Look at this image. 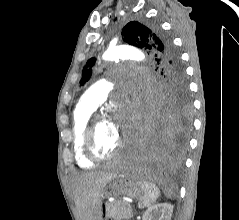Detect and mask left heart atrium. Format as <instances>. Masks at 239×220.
Segmentation results:
<instances>
[{"label":"left heart atrium","mask_w":239,"mask_h":220,"mask_svg":"<svg viewBox=\"0 0 239 220\" xmlns=\"http://www.w3.org/2000/svg\"><path fill=\"white\" fill-rule=\"evenodd\" d=\"M124 111H118V113L114 117V121L112 122L116 129L118 130V125L127 126V118L123 116Z\"/></svg>","instance_id":"obj_1"}]
</instances>
